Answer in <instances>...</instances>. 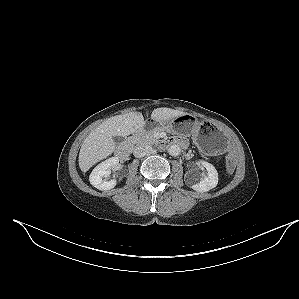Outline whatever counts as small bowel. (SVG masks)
Masks as SVG:
<instances>
[{"mask_svg": "<svg viewBox=\"0 0 299 299\" xmlns=\"http://www.w3.org/2000/svg\"><path fill=\"white\" fill-rule=\"evenodd\" d=\"M179 139H180V138H179ZM182 140H183V139H182ZM183 141H184V140H183ZM184 142H185V141H184ZM185 144H186V142H185ZM185 144H184V145H185ZM184 145H183V146H184Z\"/></svg>", "mask_w": 299, "mask_h": 299, "instance_id": "obj_1", "label": "small bowel"}]
</instances>
